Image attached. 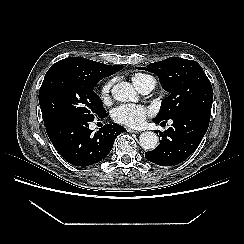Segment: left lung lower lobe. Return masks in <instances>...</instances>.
<instances>
[{
  "label": "left lung lower lobe",
  "mask_w": 244,
  "mask_h": 244,
  "mask_svg": "<svg viewBox=\"0 0 244 244\" xmlns=\"http://www.w3.org/2000/svg\"><path fill=\"white\" fill-rule=\"evenodd\" d=\"M172 127L161 135L160 144L152 151L145 152L150 162L160 166H174L186 160L198 147L205 135L210 116L200 112H184L171 118ZM164 123L163 120H153Z\"/></svg>",
  "instance_id": "1"
}]
</instances>
